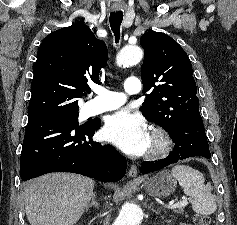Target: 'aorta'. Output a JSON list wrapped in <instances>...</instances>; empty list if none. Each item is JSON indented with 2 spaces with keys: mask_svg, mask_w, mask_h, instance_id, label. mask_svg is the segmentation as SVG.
<instances>
[{
  "mask_svg": "<svg viewBox=\"0 0 237 225\" xmlns=\"http://www.w3.org/2000/svg\"><path fill=\"white\" fill-rule=\"evenodd\" d=\"M143 57V52L138 46H126L117 55L116 62L119 66L138 64ZM142 210L139 206L126 204L122 207L113 225H140Z\"/></svg>",
  "mask_w": 237,
  "mask_h": 225,
  "instance_id": "aorta-1",
  "label": "aorta"
}]
</instances>
